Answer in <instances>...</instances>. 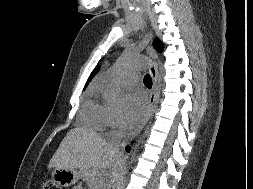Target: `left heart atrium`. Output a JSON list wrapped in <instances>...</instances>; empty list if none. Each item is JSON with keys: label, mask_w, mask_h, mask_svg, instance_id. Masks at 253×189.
<instances>
[{"label": "left heart atrium", "mask_w": 253, "mask_h": 189, "mask_svg": "<svg viewBox=\"0 0 253 189\" xmlns=\"http://www.w3.org/2000/svg\"><path fill=\"white\" fill-rule=\"evenodd\" d=\"M147 108L146 100L140 94H131L126 103L125 110L121 117L124 127H132L144 115Z\"/></svg>", "instance_id": "1"}]
</instances>
